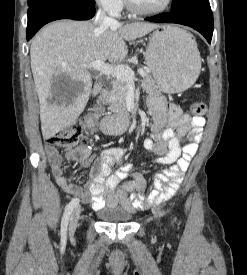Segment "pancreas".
<instances>
[{"mask_svg": "<svg viewBox=\"0 0 247 275\" xmlns=\"http://www.w3.org/2000/svg\"><path fill=\"white\" fill-rule=\"evenodd\" d=\"M141 83L142 88L148 94H155L159 92L157 90V86L155 85L154 79L149 73L143 76ZM129 89L130 84L127 81L122 79L113 80L112 89L104 100V103L109 106L108 110L113 113L124 114L127 117L126 98L128 96Z\"/></svg>", "mask_w": 247, "mask_h": 275, "instance_id": "1", "label": "pancreas"}]
</instances>
